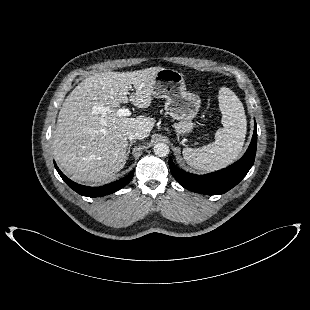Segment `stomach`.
<instances>
[{
    "label": "stomach",
    "instance_id": "0dacf381",
    "mask_svg": "<svg viewBox=\"0 0 310 310\" xmlns=\"http://www.w3.org/2000/svg\"><path fill=\"white\" fill-rule=\"evenodd\" d=\"M153 96L166 100V113L178 121L174 124L177 134L186 135L192 131V120L201 100L197 94L187 91L182 73L170 68L159 70L154 79Z\"/></svg>",
    "mask_w": 310,
    "mask_h": 310
}]
</instances>
